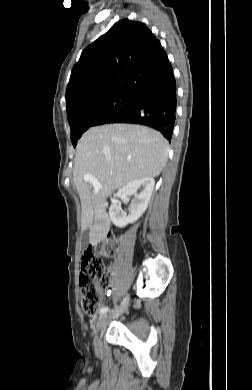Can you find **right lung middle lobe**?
Wrapping results in <instances>:
<instances>
[{"instance_id": "right-lung-middle-lobe-1", "label": "right lung middle lobe", "mask_w": 252, "mask_h": 390, "mask_svg": "<svg viewBox=\"0 0 252 390\" xmlns=\"http://www.w3.org/2000/svg\"><path fill=\"white\" fill-rule=\"evenodd\" d=\"M134 95H112L88 102L67 113L71 128V141L75 146L77 140L90 127L106 123L109 119L128 109Z\"/></svg>"}]
</instances>
